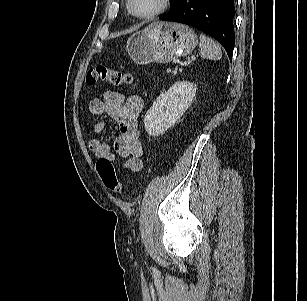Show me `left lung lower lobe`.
Segmentation results:
<instances>
[{"instance_id": "1", "label": "left lung lower lobe", "mask_w": 307, "mask_h": 301, "mask_svg": "<svg viewBox=\"0 0 307 301\" xmlns=\"http://www.w3.org/2000/svg\"><path fill=\"white\" fill-rule=\"evenodd\" d=\"M234 0H181L161 20L192 25L215 38L232 58L235 34Z\"/></svg>"}]
</instances>
